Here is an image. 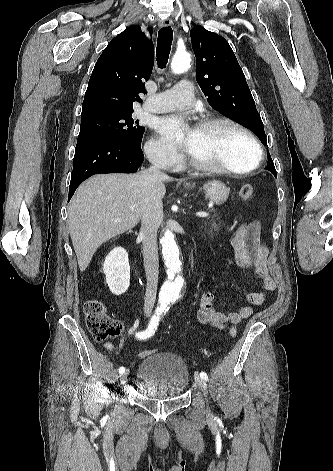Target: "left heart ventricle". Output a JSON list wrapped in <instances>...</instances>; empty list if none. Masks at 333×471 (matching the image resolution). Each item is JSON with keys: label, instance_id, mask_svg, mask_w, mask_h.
<instances>
[{"label": "left heart ventricle", "instance_id": "obj_1", "mask_svg": "<svg viewBox=\"0 0 333 471\" xmlns=\"http://www.w3.org/2000/svg\"><path fill=\"white\" fill-rule=\"evenodd\" d=\"M189 152L205 161L241 170L250 167L256 151L250 140L236 128L218 124L191 131L187 137Z\"/></svg>", "mask_w": 333, "mask_h": 471}]
</instances>
